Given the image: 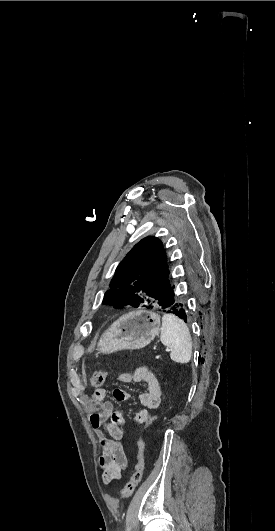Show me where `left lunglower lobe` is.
I'll return each instance as SVG.
<instances>
[{
  "label": "left lung lower lobe",
  "instance_id": "left-lung-lower-lobe-1",
  "mask_svg": "<svg viewBox=\"0 0 275 531\" xmlns=\"http://www.w3.org/2000/svg\"><path fill=\"white\" fill-rule=\"evenodd\" d=\"M163 308L167 313L174 314L187 322L188 314L186 312L185 305L179 299H173L170 305Z\"/></svg>",
  "mask_w": 275,
  "mask_h": 531
}]
</instances>
